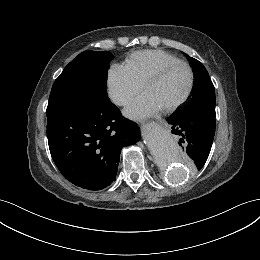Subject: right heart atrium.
<instances>
[{"instance_id":"1","label":"right heart atrium","mask_w":260,"mask_h":260,"mask_svg":"<svg viewBox=\"0 0 260 260\" xmlns=\"http://www.w3.org/2000/svg\"><path fill=\"white\" fill-rule=\"evenodd\" d=\"M107 85L111 100L119 106L128 105L143 88L125 66L118 64L110 68Z\"/></svg>"}]
</instances>
